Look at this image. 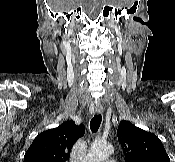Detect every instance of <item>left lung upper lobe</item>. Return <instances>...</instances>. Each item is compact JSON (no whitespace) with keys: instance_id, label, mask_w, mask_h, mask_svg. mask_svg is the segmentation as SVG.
Masks as SVG:
<instances>
[{"instance_id":"left-lung-upper-lobe-1","label":"left lung upper lobe","mask_w":175,"mask_h":162,"mask_svg":"<svg viewBox=\"0 0 175 162\" xmlns=\"http://www.w3.org/2000/svg\"><path fill=\"white\" fill-rule=\"evenodd\" d=\"M118 140L127 162H170L160 139L128 121H121Z\"/></svg>"}]
</instances>
